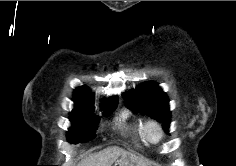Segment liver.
<instances>
[{
  "label": "liver",
  "instance_id": "6515ba94",
  "mask_svg": "<svg viewBox=\"0 0 236 166\" xmlns=\"http://www.w3.org/2000/svg\"><path fill=\"white\" fill-rule=\"evenodd\" d=\"M126 155L132 154L119 147H109L83 159L80 163H78L77 166H112L119 157ZM132 159V162L135 163L136 166H147L144 161L138 159L135 156H133Z\"/></svg>",
  "mask_w": 236,
  "mask_h": 166
}]
</instances>
